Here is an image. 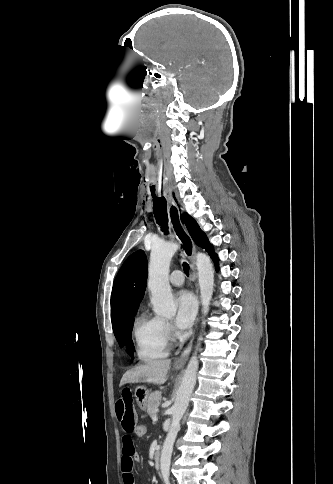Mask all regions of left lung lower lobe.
<instances>
[{
  "instance_id": "0a47b994",
  "label": "left lung lower lobe",
  "mask_w": 333,
  "mask_h": 484,
  "mask_svg": "<svg viewBox=\"0 0 333 484\" xmlns=\"http://www.w3.org/2000/svg\"><path fill=\"white\" fill-rule=\"evenodd\" d=\"M200 247L205 248L208 251V253L211 255L212 259L215 262V266H216V270H217V267H218V256L215 254L214 249L211 246V244L209 243L206 235H204V237H203V245L200 246Z\"/></svg>"
}]
</instances>
